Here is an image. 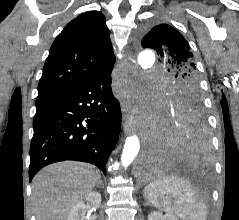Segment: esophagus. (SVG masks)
Returning a JSON list of instances; mask_svg holds the SVG:
<instances>
[{"mask_svg":"<svg viewBox=\"0 0 239 220\" xmlns=\"http://www.w3.org/2000/svg\"><path fill=\"white\" fill-rule=\"evenodd\" d=\"M124 130L127 133L131 131V123L127 118H126V121H125V124H124Z\"/></svg>","mask_w":239,"mask_h":220,"instance_id":"1","label":"esophagus"}]
</instances>
